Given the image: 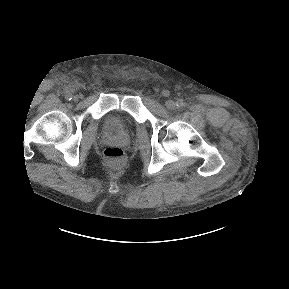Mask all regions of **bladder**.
Returning <instances> with one entry per match:
<instances>
[{
	"instance_id": "31cf9c89",
	"label": "bladder",
	"mask_w": 289,
	"mask_h": 289,
	"mask_svg": "<svg viewBox=\"0 0 289 289\" xmlns=\"http://www.w3.org/2000/svg\"><path fill=\"white\" fill-rule=\"evenodd\" d=\"M131 129V123L118 115H109L104 123V130L109 136H123Z\"/></svg>"
}]
</instances>
